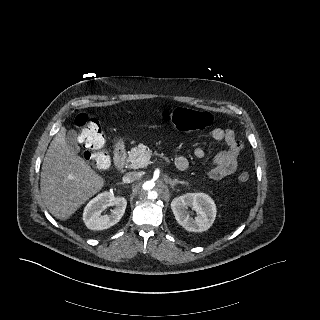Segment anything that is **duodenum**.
Wrapping results in <instances>:
<instances>
[{
    "mask_svg": "<svg viewBox=\"0 0 320 320\" xmlns=\"http://www.w3.org/2000/svg\"><path fill=\"white\" fill-rule=\"evenodd\" d=\"M114 164L118 170H122L126 164V151L123 146H118L114 151ZM179 170H185L186 167H179L176 164Z\"/></svg>",
    "mask_w": 320,
    "mask_h": 320,
    "instance_id": "duodenum-1",
    "label": "duodenum"
}]
</instances>
